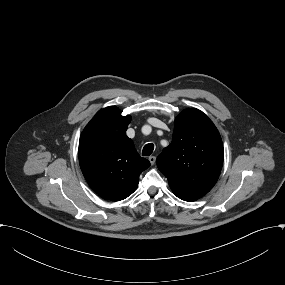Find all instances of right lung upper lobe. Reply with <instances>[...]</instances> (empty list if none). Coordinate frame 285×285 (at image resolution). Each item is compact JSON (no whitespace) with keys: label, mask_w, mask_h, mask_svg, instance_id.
<instances>
[{"label":"right lung upper lobe","mask_w":285,"mask_h":285,"mask_svg":"<svg viewBox=\"0 0 285 285\" xmlns=\"http://www.w3.org/2000/svg\"><path fill=\"white\" fill-rule=\"evenodd\" d=\"M130 116L115 106L100 110L84 128L79 163L90 187L102 198L120 201L138 187L139 176L150 166L126 135Z\"/></svg>","instance_id":"1"}]
</instances>
